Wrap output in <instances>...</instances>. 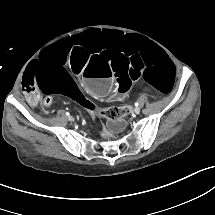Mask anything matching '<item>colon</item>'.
Segmentation results:
<instances>
[{
  "instance_id": "1",
  "label": "colon",
  "mask_w": 215,
  "mask_h": 215,
  "mask_svg": "<svg viewBox=\"0 0 215 215\" xmlns=\"http://www.w3.org/2000/svg\"><path fill=\"white\" fill-rule=\"evenodd\" d=\"M51 104V98L47 97L43 100V105L49 107ZM89 110L94 116H105L108 119H118L121 116L125 115L129 109L128 108H119V107H110L107 109H101L96 105H90Z\"/></svg>"
}]
</instances>
